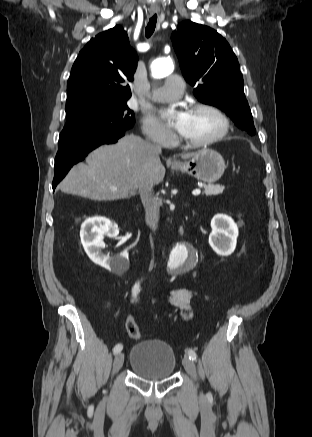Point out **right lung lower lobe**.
<instances>
[{
  "label": "right lung lower lobe",
  "instance_id": "98d812e1",
  "mask_svg": "<svg viewBox=\"0 0 312 437\" xmlns=\"http://www.w3.org/2000/svg\"><path fill=\"white\" fill-rule=\"evenodd\" d=\"M124 134L125 131L105 136H99L90 140L77 143L68 148L59 149L55 157V175L52 184L53 190L55 189L57 184L65 177L71 167L74 164L82 161L90 151L102 144L116 143L119 138L124 136Z\"/></svg>",
  "mask_w": 312,
  "mask_h": 437
}]
</instances>
